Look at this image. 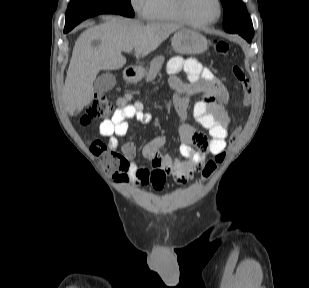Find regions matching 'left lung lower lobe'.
I'll use <instances>...</instances> for the list:
<instances>
[{
    "instance_id": "left-lung-lower-lobe-1",
    "label": "left lung lower lobe",
    "mask_w": 309,
    "mask_h": 288,
    "mask_svg": "<svg viewBox=\"0 0 309 288\" xmlns=\"http://www.w3.org/2000/svg\"><path fill=\"white\" fill-rule=\"evenodd\" d=\"M230 33H238L243 38H245L248 42H251L252 37L254 35L253 26H249L242 29H233L230 31Z\"/></svg>"
}]
</instances>
